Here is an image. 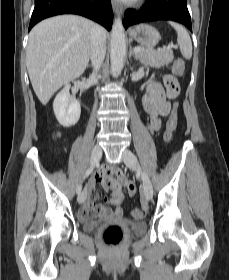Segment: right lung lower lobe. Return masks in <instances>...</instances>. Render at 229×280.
Returning <instances> with one entry per match:
<instances>
[{
	"label": "right lung lower lobe",
	"mask_w": 229,
	"mask_h": 280,
	"mask_svg": "<svg viewBox=\"0 0 229 280\" xmlns=\"http://www.w3.org/2000/svg\"><path fill=\"white\" fill-rule=\"evenodd\" d=\"M60 14H78L90 18L107 30L111 29L113 13L110 0H35L29 31L39 21Z\"/></svg>",
	"instance_id": "obj_1"
}]
</instances>
